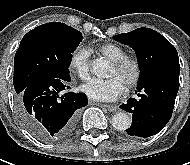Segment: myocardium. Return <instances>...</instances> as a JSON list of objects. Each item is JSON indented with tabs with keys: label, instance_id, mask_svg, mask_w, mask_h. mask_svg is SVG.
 <instances>
[{
	"label": "myocardium",
	"instance_id": "obj_1",
	"mask_svg": "<svg viewBox=\"0 0 190 165\" xmlns=\"http://www.w3.org/2000/svg\"><path fill=\"white\" fill-rule=\"evenodd\" d=\"M112 65L116 70L121 72L131 71V76L125 85L127 89H131L139 83L142 76V66L137 59L126 56L120 60L113 61Z\"/></svg>",
	"mask_w": 190,
	"mask_h": 165
}]
</instances>
